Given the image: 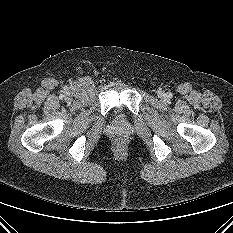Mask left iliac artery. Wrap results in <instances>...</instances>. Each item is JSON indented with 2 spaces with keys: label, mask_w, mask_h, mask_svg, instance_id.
Instances as JSON below:
<instances>
[{
  "label": "left iliac artery",
  "mask_w": 233,
  "mask_h": 233,
  "mask_svg": "<svg viewBox=\"0 0 233 233\" xmlns=\"http://www.w3.org/2000/svg\"><path fill=\"white\" fill-rule=\"evenodd\" d=\"M171 96H172V94H171V93H169V94H168V97H169V98H171Z\"/></svg>",
  "instance_id": "obj_1"
}]
</instances>
